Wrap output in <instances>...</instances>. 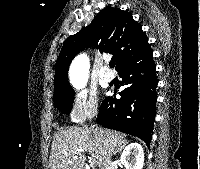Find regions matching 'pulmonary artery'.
Segmentation results:
<instances>
[{"label":"pulmonary artery","instance_id":"1","mask_svg":"<svg viewBox=\"0 0 200 169\" xmlns=\"http://www.w3.org/2000/svg\"><path fill=\"white\" fill-rule=\"evenodd\" d=\"M100 76L104 82H111L114 79V74L110 71L109 68L103 69Z\"/></svg>","mask_w":200,"mask_h":169}]
</instances>
